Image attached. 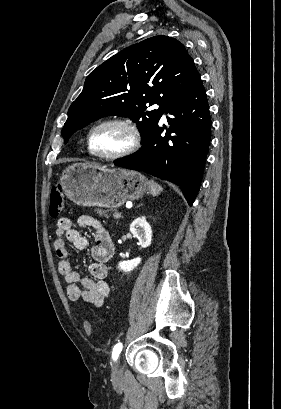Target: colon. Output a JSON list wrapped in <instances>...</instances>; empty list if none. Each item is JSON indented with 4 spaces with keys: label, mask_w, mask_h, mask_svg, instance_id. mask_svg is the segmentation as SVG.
<instances>
[{
    "label": "colon",
    "mask_w": 281,
    "mask_h": 409,
    "mask_svg": "<svg viewBox=\"0 0 281 409\" xmlns=\"http://www.w3.org/2000/svg\"><path fill=\"white\" fill-rule=\"evenodd\" d=\"M51 197H52V200L50 202V213L53 216H58L59 214H61V212L64 209V198H63V191H62L61 185L56 184L52 187ZM85 327L87 328L86 333L88 335H91L94 333L92 324L90 322H87L85 324Z\"/></svg>",
    "instance_id": "colon-1"
}]
</instances>
